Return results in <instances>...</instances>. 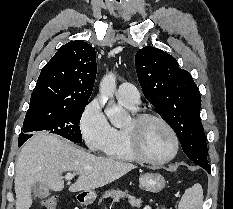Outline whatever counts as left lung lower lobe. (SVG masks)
Masks as SVG:
<instances>
[{
    "instance_id": "obj_1",
    "label": "left lung lower lobe",
    "mask_w": 233,
    "mask_h": 209,
    "mask_svg": "<svg viewBox=\"0 0 233 209\" xmlns=\"http://www.w3.org/2000/svg\"><path fill=\"white\" fill-rule=\"evenodd\" d=\"M201 167L204 168L208 173L211 172V170H210V165H209V164L203 165V166H201Z\"/></svg>"
}]
</instances>
